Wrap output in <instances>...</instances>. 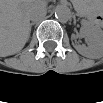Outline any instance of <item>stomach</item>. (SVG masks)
<instances>
[{"mask_svg": "<svg viewBox=\"0 0 103 103\" xmlns=\"http://www.w3.org/2000/svg\"><path fill=\"white\" fill-rule=\"evenodd\" d=\"M76 8L78 11L83 12V11H90V7L92 4L90 2H79L75 4Z\"/></svg>", "mask_w": 103, "mask_h": 103, "instance_id": "0dacf381", "label": "stomach"}]
</instances>
